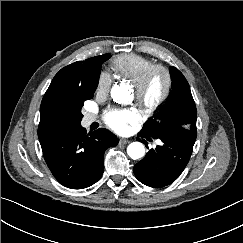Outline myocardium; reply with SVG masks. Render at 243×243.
Wrapping results in <instances>:
<instances>
[{"label":"myocardium","mask_w":243,"mask_h":243,"mask_svg":"<svg viewBox=\"0 0 243 243\" xmlns=\"http://www.w3.org/2000/svg\"><path fill=\"white\" fill-rule=\"evenodd\" d=\"M161 73L164 77V85L160 94L149 99L147 92L150 81L154 74ZM173 78L169 68L162 64H154L149 67L139 78V80L133 84L135 101L144 114H151L159 109L169 98L172 90Z\"/></svg>","instance_id":"myocardium-1"}]
</instances>
